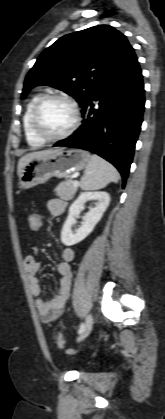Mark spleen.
<instances>
[{"label": "spleen", "mask_w": 165, "mask_h": 419, "mask_svg": "<svg viewBox=\"0 0 165 419\" xmlns=\"http://www.w3.org/2000/svg\"><path fill=\"white\" fill-rule=\"evenodd\" d=\"M119 174L109 162L92 155L80 181L83 190H97L106 187L110 182L117 183Z\"/></svg>", "instance_id": "obj_1"}]
</instances>
